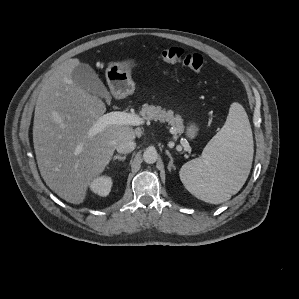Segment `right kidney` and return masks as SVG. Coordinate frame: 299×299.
<instances>
[{"label":"right kidney","instance_id":"1","mask_svg":"<svg viewBox=\"0 0 299 299\" xmlns=\"http://www.w3.org/2000/svg\"><path fill=\"white\" fill-rule=\"evenodd\" d=\"M91 190L99 196H107L112 187V179L108 176L95 178L90 184Z\"/></svg>","mask_w":299,"mask_h":299}]
</instances>
